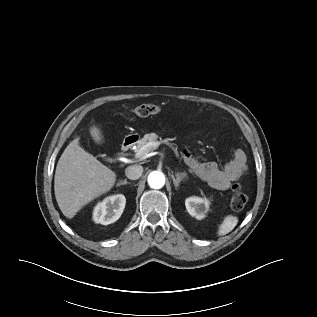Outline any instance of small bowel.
Masks as SVG:
<instances>
[{
    "label": "small bowel",
    "instance_id": "1",
    "mask_svg": "<svg viewBox=\"0 0 317 317\" xmlns=\"http://www.w3.org/2000/svg\"><path fill=\"white\" fill-rule=\"evenodd\" d=\"M183 157L200 179L220 190L228 189L247 169V156L242 149H236L233 158L223 166L215 162H200L189 150L183 152Z\"/></svg>",
    "mask_w": 317,
    "mask_h": 317
}]
</instances>
